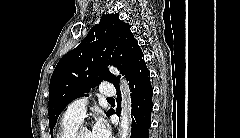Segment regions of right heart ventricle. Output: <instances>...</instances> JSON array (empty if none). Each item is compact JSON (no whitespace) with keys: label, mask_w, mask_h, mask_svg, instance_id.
Masks as SVG:
<instances>
[{"label":"right heart ventricle","mask_w":240,"mask_h":138,"mask_svg":"<svg viewBox=\"0 0 240 138\" xmlns=\"http://www.w3.org/2000/svg\"><path fill=\"white\" fill-rule=\"evenodd\" d=\"M80 120L64 116L60 122L57 138H72L73 133L80 125Z\"/></svg>","instance_id":"1"}]
</instances>
